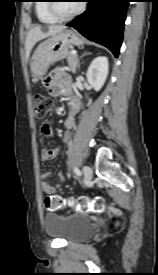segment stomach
Listing matches in <instances>:
<instances>
[{
	"mask_svg": "<svg viewBox=\"0 0 158 275\" xmlns=\"http://www.w3.org/2000/svg\"><path fill=\"white\" fill-rule=\"evenodd\" d=\"M83 39L80 35L70 29L51 36L42 42L35 50L31 59L30 68L35 78L44 76L50 65L66 58L69 54V47L72 45L80 46Z\"/></svg>",
	"mask_w": 158,
	"mask_h": 275,
	"instance_id": "obj_1",
	"label": "stomach"
}]
</instances>
